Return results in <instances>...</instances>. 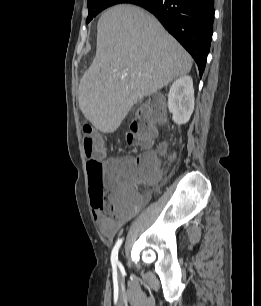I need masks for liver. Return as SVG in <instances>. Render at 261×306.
<instances>
[{"label": "liver", "mask_w": 261, "mask_h": 306, "mask_svg": "<svg viewBox=\"0 0 261 306\" xmlns=\"http://www.w3.org/2000/svg\"><path fill=\"white\" fill-rule=\"evenodd\" d=\"M192 64L153 15L134 5L111 7L98 21L96 57L80 80V110L99 131L113 133L134 104Z\"/></svg>", "instance_id": "1"}]
</instances>
